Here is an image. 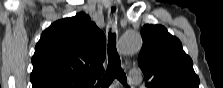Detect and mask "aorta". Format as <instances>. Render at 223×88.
<instances>
[{
    "mask_svg": "<svg viewBox=\"0 0 223 88\" xmlns=\"http://www.w3.org/2000/svg\"><path fill=\"white\" fill-rule=\"evenodd\" d=\"M142 41L138 34L126 33L120 39L119 51L123 55H127L138 51L141 48Z\"/></svg>",
    "mask_w": 223,
    "mask_h": 88,
    "instance_id": "obj_1",
    "label": "aorta"
}]
</instances>
